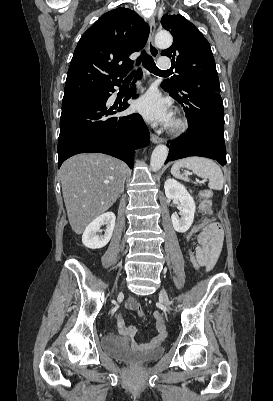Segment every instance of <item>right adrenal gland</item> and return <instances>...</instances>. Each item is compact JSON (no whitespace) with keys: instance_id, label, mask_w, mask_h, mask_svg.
Segmentation results:
<instances>
[{"instance_id":"right-adrenal-gland-1","label":"right adrenal gland","mask_w":273,"mask_h":401,"mask_svg":"<svg viewBox=\"0 0 273 401\" xmlns=\"http://www.w3.org/2000/svg\"><path fill=\"white\" fill-rule=\"evenodd\" d=\"M125 180H126V172H125V176H124V182H125Z\"/></svg>"}]
</instances>
